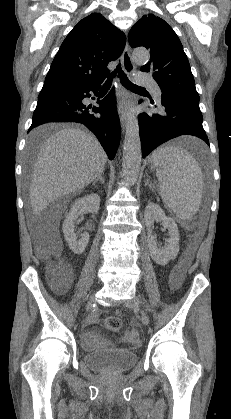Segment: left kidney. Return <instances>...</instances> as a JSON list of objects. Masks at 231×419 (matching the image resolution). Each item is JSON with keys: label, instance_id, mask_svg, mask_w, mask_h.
Wrapping results in <instances>:
<instances>
[{"label": "left kidney", "instance_id": "1", "mask_svg": "<svg viewBox=\"0 0 231 419\" xmlns=\"http://www.w3.org/2000/svg\"><path fill=\"white\" fill-rule=\"evenodd\" d=\"M160 220L165 228L168 229V244L164 248H159L152 234V226L155 221ZM144 221L148 231V247L152 259L159 265H166L170 260L175 259L179 252V231L176 222L165 215L163 209L155 204L149 203L144 212Z\"/></svg>", "mask_w": 231, "mask_h": 419}]
</instances>
